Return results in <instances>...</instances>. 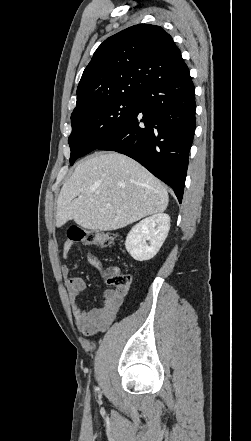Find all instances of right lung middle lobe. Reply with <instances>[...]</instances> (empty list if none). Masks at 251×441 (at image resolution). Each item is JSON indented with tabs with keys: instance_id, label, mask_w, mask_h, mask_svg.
<instances>
[{
	"instance_id": "right-lung-middle-lobe-1",
	"label": "right lung middle lobe",
	"mask_w": 251,
	"mask_h": 441,
	"mask_svg": "<svg viewBox=\"0 0 251 441\" xmlns=\"http://www.w3.org/2000/svg\"><path fill=\"white\" fill-rule=\"evenodd\" d=\"M139 101L140 95L108 97L91 102L72 114V132L68 139L70 165L117 132L135 112Z\"/></svg>"
}]
</instances>
